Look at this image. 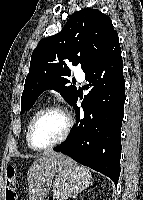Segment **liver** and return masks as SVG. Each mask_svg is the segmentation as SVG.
Instances as JSON below:
<instances>
[{
  "instance_id": "6515ba94",
  "label": "liver",
  "mask_w": 143,
  "mask_h": 200,
  "mask_svg": "<svg viewBox=\"0 0 143 200\" xmlns=\"http://www.w3.org/2000/svg\"><path fill=\"white\" fill-rule=\"evenodd\" d=\"M74 163L73 159L62 153H43L33 162L27 173L30 200H44L55 174L63 167Z\"/></svg>"
}]
</instances>
